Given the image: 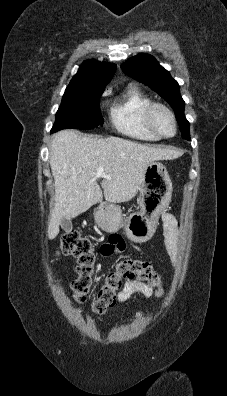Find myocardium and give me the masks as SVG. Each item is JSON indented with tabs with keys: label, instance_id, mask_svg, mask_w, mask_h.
<instances>
[{
	"label": "myocardium",
	"instance_id": "1",
	"mask_svg": "<svg viewBox=\"0 0 227 396\" xmlns=\"http://www.w3.org/2000/svg\"><path fill=\"white\" fill-rule=\"evenodd\" d=\"M158 110H163V111H165V112L168 113V115L171 117L172 122H173V128H174L173 134H171V135L163 134V133L158 129V127L156 126V123H155V114H156V112H157ZM145 120H146V124H147V126L149 127V129H150L152 132H154L157 136H159L160 138H172V137H174V136L176 135V133H177V128H178V126H177V119H176V116H175L174 112L172 111V109H171L169 106H167L166 104H164V103H161V102H152V103L148 106V108H147V110H146V113H145Z\"/></svg>",
	"mask_w": 227,
	"mask_h": 396
}]
</instances>
